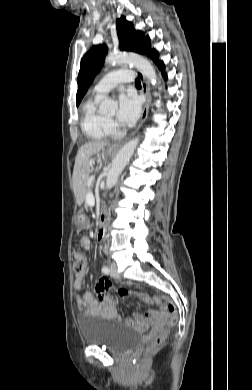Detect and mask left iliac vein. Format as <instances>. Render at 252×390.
Masks as SVG:
<instances>
[{
  "label": "left iliac vein",
  "instance_id": "obj_1",
  "mask_svg": "<svg viewBox=\"0 0 252 390\" xmlns=\"http://www.w3.org/2000/svg\"><path fill=\"white\" fill-rule=\"evenodd\" d=\"M110 276L113 277V278H116V279H119L120 278V275L117 271V267L115 264H112L110 266Z\"/></svg>",
  "mask_w": 252,
  "mask_h": 390
}]
</instances>
